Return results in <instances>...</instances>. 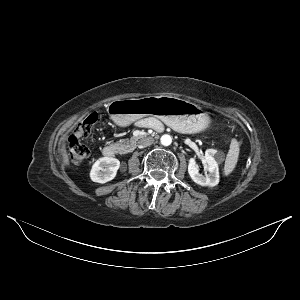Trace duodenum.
Instances as JSON below:
<instances>
[{"mask_svg": "<svg viewBox=\"0 0 300 300\" xmlns=\"http://www.w3.org/2000/svg\"><path fill=\"white\" fill-rule=\"evenodd\" d=\"M118 152V149L116 146L114 145H106L103 147L102 149V154L106 157V158H114L116 157Z\"/></svg>", "mask_w": 300, "mask_h": 300, "instance_id": "obj_1", "label": "duodenum"}]
</instances>
